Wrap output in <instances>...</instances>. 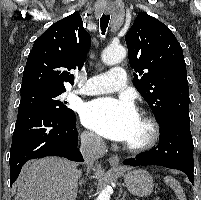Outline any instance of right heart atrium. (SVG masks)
<instances>
[{"mask_svg": "<svg viewBox=\"0 0 201 200\" xmlns=\"http://www.w3.org/2000/svg\"><path fill=\"white\" fill-rule=\"evenodd\" d=\"M81 139L83 144L91 150L100 151L103 147L102 140L91 131H84L81 134Z\"/></svg>", "mask_w": 201, "mask_h": 200, "instance_id": "1", "label": "right heart atrium"}]
</instances>
